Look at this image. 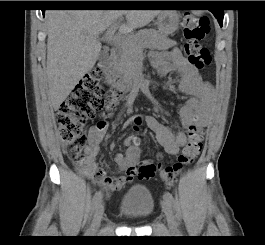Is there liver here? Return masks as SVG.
Returning a JSON list of instances; mask_svg holds the SVG:
<instances>
[{"mask_svg":"<svg viewBox=\"0 0 265 245\" xmlns=\"http://www.w3.org/2000/svg\"><path fill=\"white\" fill-rule=\"evenodd\" d=\"M161 10H49L47 80L54 110L95 65L101 44L99 34L125 15L119 32L127 34L149 24Z\"/></svg>","mask_w":265,"mask_h":245,"instance_id":"obj_1","label":"liver"}]
</instances>
